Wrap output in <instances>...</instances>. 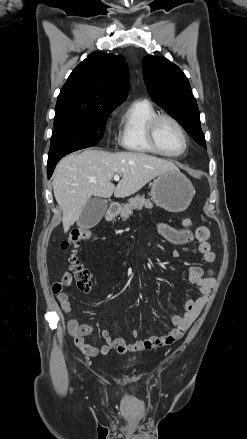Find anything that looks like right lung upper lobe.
Segmentation results:
<instances>
[{"label": "right lung upper lobe", "instance_id": "obj_1", "mask_svg": "<svg viewBox=\"0 0 247 439\" xmlns=\"http://www.w3.org/2000/svg\"><path fill=\"white\" fill-rule=\"evenodd\" d=\"M129 70L114 54L91 53L70 74L56 108L115 109L127 98Z\"/></svg>", "mask_w": 247, "mask_h": 439}]
</instances>
